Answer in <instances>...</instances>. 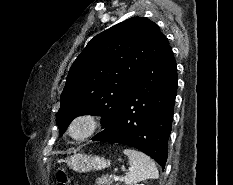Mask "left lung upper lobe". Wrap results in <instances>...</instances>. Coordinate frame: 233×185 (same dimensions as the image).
<instances>
[{
    "mask_svg": "<svg viewBox=\"0 0 233 185\" xmlns=\"http://www.w3.org/2000/svg\"><path fill=\"white\" fill-rule=\"evenodd\" d=\"M168 46L159 26L145 17L95 36L68 73L57 114L60 132L84 114L100 115L103 128L113 124L138 80Z\"/></svg>",
    "mask_w": 233,
    "mask_h": 185,
    "instance_id": "obj_1",
    "label": "left lung upper lobe"
}]
</instances>
